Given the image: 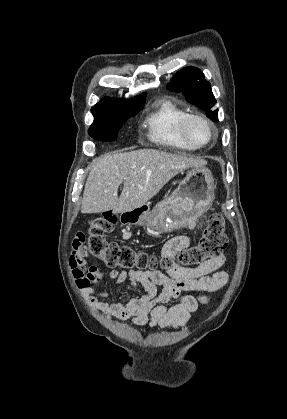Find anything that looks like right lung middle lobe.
Wrapping results in <instances>:
<instances>
[{
    "label": "right lung middle lobe",
    "instance_id": "dd1d6c3e",
    "mask_svg": "<svg viewBox=\"0 0 287 419\" xmlns=\"http://www.w3.org/2000/svg\"><path fill=\"white\" fill-rule=\"evenodd\" d=\"M142 108L143 106L93 114L94 122L88 134L95 140L113 141L127 119L136 115Z\"/></svg>",
    "mask_w": 287,
    "mask_h": 419
}]
</instances>
